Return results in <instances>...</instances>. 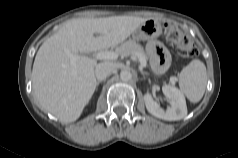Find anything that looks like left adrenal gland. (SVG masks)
Returning a JSON list of instances; mask_svg holds the SVG:
<instances>
[{"mask_svg":"<svg viewBox=\"0 0 238 158\" xmlns=\"http://www.w3.org/2000/svg\"><path fill=\"white\" fill-rule=\"evenodd\" d=\"M143 76L148 75V73L140 71Z\"/></svg>","mask_w":238,"mask_h":158,"instance_id":"left-adrenal-gland-1","label":"left adrenal gland"}]
</instances>
